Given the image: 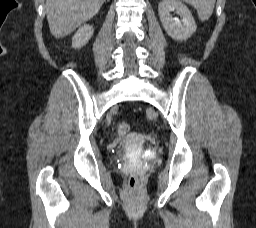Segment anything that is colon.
Returning a JSON list of instances; mask_svg holds the SVG:
<instances>
[{
  "mask_svg": "<svg viewBox=\"0 0 256 228\" xmlns=\"http://www.w3.org/2000/svg\"><path fill=\"white\" fill-rule=\"evenodd\" d=\"M130 126L126 122H119L116 125V131L119 135H125L129 132ZM139 184L138 177L132 174L129 178V187L135 189Z\"/></svg>",
  "mask_w": 256,
  "mask_h": 228,
  "instance_id": "obj_1",
  "label": "colon"
}]
</instances>
